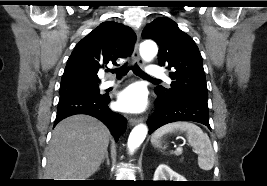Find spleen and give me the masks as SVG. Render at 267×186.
Returning a JSON list of instances; mask_svg holds the SVG:
<instances>
[{
	"mask_svg": "<svg viewBox=\"0 0 267 186\" xmlns=\"http://www.w3.org/2000/svg\"><path fill=\"white\" fill-rule=\"evenodd\" d=\"M175 131L185 132L189 145L198 154V165L203 170H210L214 165V152L211 141L200 127L190 122H174L157 129L152 137V144L158 146L160 138Z\"/></svg>",
	"mask_w": 267,
	"mask_h": 186,
	"instance_id": "1",
	"label": "spleen"
}]
</instances>
